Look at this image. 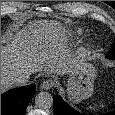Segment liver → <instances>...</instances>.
Wrapping results in <instances>:
<instances>
[{
    "mask_svg": "<svg viewBox=\"0 0 115 115\" xmlns=\"http://www.w3.org/2000/svg\"><path fill=\"white\" fill-rule=\"evenodd\" d=\"M60 31L53 21L34 22L1 43V93L12 88L14 78L22 72L65 75L73 71L82 58L67 48Z\"/></svg>",
    "mask_w": 115,
    "mask_h": 115,
    "instance_id": "6515ba94",
    "label": "liver"
}]
</instances>
